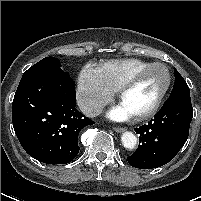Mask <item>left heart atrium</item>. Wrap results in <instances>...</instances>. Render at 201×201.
I'll use <instances>...</instances> for the list:
<instances>
[{
	"instance_id": "39dd6f15",
	"label": "left heart atrium",
	"mask_w": 201,
	"mask_h": 201,
	"mask_svg": "<svg viewBox=\"0 0 201 201\" xmlns=\"http://www.w3.org/2000/svg\"><path fill=\"white\" fill-rule=\"evenodd\" d=\"M108 115L116 121H124L133 116L122 104L113 108Z\"/></svg>"
}]
</instances>
